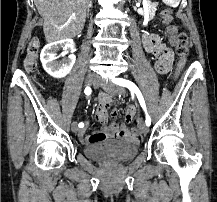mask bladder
Returning <instances> with one entry per match:
<instances>
[{"mask_svg": "<svg viewBox=\"0 0 217 202\" xmlns=\"http://www.w3.org/2000/svg\"><path fill=\"white\" fill-rule=\"evenodd\" d=\"M138 144L132 141L108 140L85 146L87 157L125 162L132 156H137Z\"/></svg>", "mask_w": 217, "mask_h": 202, "instance_id": "obj_1", "label": "bladder"}]
</instances>
